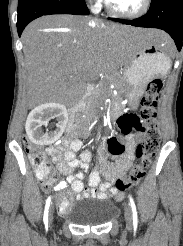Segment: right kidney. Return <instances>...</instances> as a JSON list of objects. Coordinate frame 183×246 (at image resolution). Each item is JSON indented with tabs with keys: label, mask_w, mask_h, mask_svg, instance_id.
Wrapping results in <instances>:
<instances>
[{
	"label": "right kidney",
	"mask_w": 183,
	"mask_h": 246,
	"mask_svg": "<svg viewBox=\"0 0 183 246\" xmlns=\"http://www.w3.org/2000/svg\"><path fill=\"white\" fill-rule=\"evenodd\" d=\"M57 118V129L44 133L42 126H47L51 119ZM68 121L67 110L59 103H46L34 108L26 121V133L36 145H48L56 141L63 133Z\"/></svg>",
	"instance_id": "ca27d5eb"
}]
</instances>
